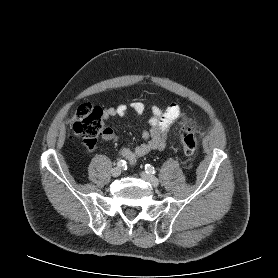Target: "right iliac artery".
Returning <instances> with one entry per match:
<instances>
[{
  "label": "right iliac artery",
  "instance_id": "obj_1",
  "mask_svg": "<svg viewBox=\"0 0 278 278\" xmlns=\"http://www.w3.org/2000/svg\"><path fill=\"white\" fill-rule=\"evenodd\" d=\"M125 164H126V161L125 160H119L118 162H117V166L118 167H124L125 166Z\"/></svg>",
  "mask_w": 278,
  "mask_h": 278
}]
</instances>
